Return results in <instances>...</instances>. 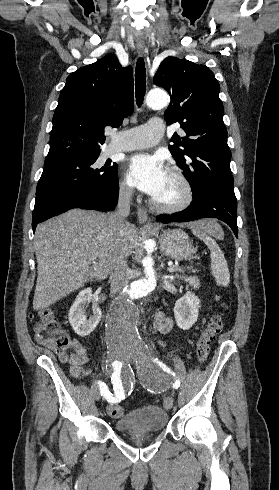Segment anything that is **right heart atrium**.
I'll use <instances>...</instances> for the list:
<instances>
[{
    "instance_id": "1",
    "label": "right heart atrium",
    "mask_w": 279,
    "mask_h": 490,
    "mask_svg": "<svg viewBox=\"0 0 279 490\" xmlns=\"http://www.w3.org/2000/svg\"><path fill=\"white\" fill-rule=\"evenodd\" d=\"M116 188H117V194L119 198L122 200H128L133 195L132 187L128 184V182L124 178H120L118 180Z\"/></svg>"
}]
</instances>
